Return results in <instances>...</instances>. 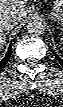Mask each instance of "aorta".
<instances>
[{
    "instance_id": "aorta-1",
    "label": "aorta",
    "mask_w": 63,
    "mask_h": 107,
    "mask_svg": "<svg viewBox=\"0 0 63 107\" xmlns=\"http://www.w3.org/2000/svg\"><path fill=\"white\" fill-rule=\"evenodd\" d=\"M26 27L27 32L32 36H40L45 31L44 22L40 19H31Z\"/></svg>"
}]
</instances>
